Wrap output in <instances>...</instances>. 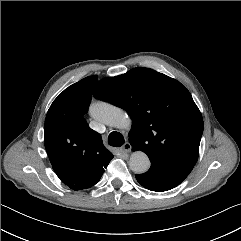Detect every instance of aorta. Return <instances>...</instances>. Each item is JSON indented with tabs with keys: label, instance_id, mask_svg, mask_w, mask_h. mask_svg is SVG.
<instances>
[{
	"label": "aorta",
	"instance_id": "aorta-1",
	"mask_svg": "<svg viewBox=\"0 0 241 241\" xmlns=\"http://www.w3.org/2000/svg\"><path fill=\"white\" fill-rule=\"evenodd\" d=\"M89 114L93 119L115 128L129 129L131 127L130 117L122 109L106 102L93 103ZM129 167L134 173L142 174L150 168V160L143 151L136 150L130 156Z\"/></svg>",
	"mask_w": 241,
	"mask_h": 241
}]
</instances>
